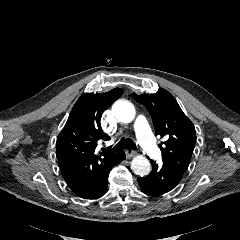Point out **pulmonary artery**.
Returning a JSON list of instances; mask_svg holds the SVG:
<instances>
[{
    "mask_svg": "<svg viewBox=\"0 0 240 240\" xmlns=\"http://www.w3.org/2000/svg\"><path fill=\"white\" fill-rule=\"evenodd\" d=\"M134 130L139 143L146 153L152 158H158L160 156V150L153 140L147 120L143 115H139L136 118Z\"/></svg>",
    "mask_w": 240,
    "mask_h": 240,
    "instance_id": "1",
    "label": "pulmonary artery"
}]
</instances>
